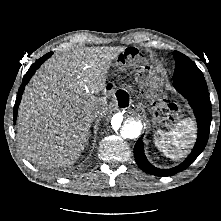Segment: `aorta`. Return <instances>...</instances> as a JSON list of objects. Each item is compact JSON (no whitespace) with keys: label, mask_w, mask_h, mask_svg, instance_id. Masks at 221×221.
<instances>
[{"label":"aorta","mask_w":221,"mask_h":221,"mask_svg":"<svg viewBox=\"0 0 221 221\" xmlns=\"http://www.w3.org/2000/svg\"><path fill=\"white\" fill-rule=\"evenodd\" d=\"M111 128L123 139H135L141 134L143 122L136 114L116 113L112 117Z\"/></svg>","instance_id":"762f6f07"}]
</instances>
